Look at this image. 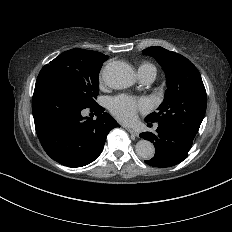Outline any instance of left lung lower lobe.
<instances>
[{"label":"left lung lower lobe","mask_w":232,"mask_h":232,"mask_svg":"<svg viewBox=\"0 0 232 232\" xmlns=\"http://www.w3.org/2000/svg\"><path fill=\"white\" fill-rule=\"evenodd\" d=\"M158 125L156 134L151 132L140 134L141 138L149 140L156 148L154 157L146 160L145 163L160 168L179 164L188 157L194 138L173 126L166 124Z\"/></svg>","instance_id":"0a47b994"}]
</instances>
